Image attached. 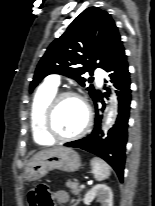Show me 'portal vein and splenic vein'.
Wrapping results in <instances>:
<instances>
[{
  "instance_id": "obj_1",
  "label": "portal vein and splenic vein",
  "mask_w": 155,
  "mask_h": 206,
  "mask_svg": "<svg viewBox=\"0 0 155 206\" xmlns=\"http://www.w3.org/2000/svg\"><path fill=\"white\" fill-rule=\"evenodd\" d=\"M84 187H85V185H84V184H81V185H80V188H84Z\"/></svg>"
}]
</instances>
